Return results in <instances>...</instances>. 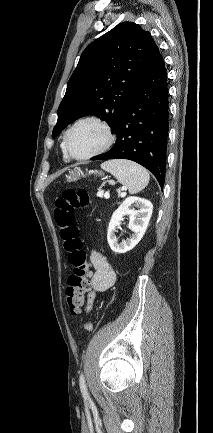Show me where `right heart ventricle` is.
I'll return each instance as SVG.
<instances>
[{
  "instance_id": "1",
  "label": "right heart ventricle",
  "mask_w": 213,
  "mask_h": 433,
  "mask_svg": "<svg viewBox=\"0 0 213 433\" xmlns=\"http://www.w3.org/2000/svg\"><path fill=\"white\" fill-rule=\"evenodd\" d=\"M61 150H62V156H63V159H64V160H68L69 157H68V155H67V153H66V151H65V148H64V140H63L62 143H61Z\"/></svg>"
}]
</instances>
